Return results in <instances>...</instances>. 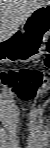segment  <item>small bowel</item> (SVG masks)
Instances as JSON below:
<instances>
[{"label":"small bowel","instance_id":"c3829d8e","mask_svg":"<svg viewBox=\"0 0 50 148\" xmlns=\"http://www.w3.org/2000/svg\"><path fill=\"white\" fill-rule=\"evenodd\" d=\"M34 147H43V145H38V146H34Z\"/></svg>","mask_w":50,"mask_h":148}]
</instances>
